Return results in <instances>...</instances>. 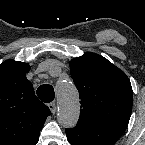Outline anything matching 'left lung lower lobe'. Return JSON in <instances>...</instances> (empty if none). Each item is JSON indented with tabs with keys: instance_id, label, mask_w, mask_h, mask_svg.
I'll return each mask as SVG.
<instances>
[{
	"instance_id": "1",
	"label": "left lung lower lobe",
	"mask_w": 145,
	"mask_h": 145,
	"mask_svg": "<svg viewBox=\"0 0 145 145\" xmlns=\"http://www.w3.org/2000/svg\"><path fill=\"white\" fill-rule=\"evenodd\" d=\"M126 128L125 124L78 122L75 128L65 132L71 145H114Z\"/></svg>"
}]
</instances>
